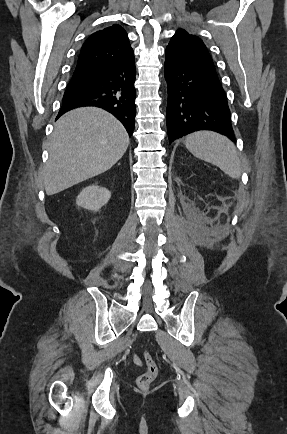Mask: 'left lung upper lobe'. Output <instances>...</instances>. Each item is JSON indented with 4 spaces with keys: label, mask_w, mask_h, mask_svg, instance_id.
<instances>
[{
    "label": "left lung upper lobe",
    "mask_w": 287,
    "mask_h": 434,
    "mask_svg": "<svg viewBox=\"0 0 287 434\" xmlns=\"http://www.w3.org/2000/svg\"><path fill=\"white\" fill-rule=\"evenodd\" d=\"M166 55L215 68L205 44L183 29L176 31L166 48Z\"/></svg>",
    "instance_id": "5c2ea615"
}]
</instances>
